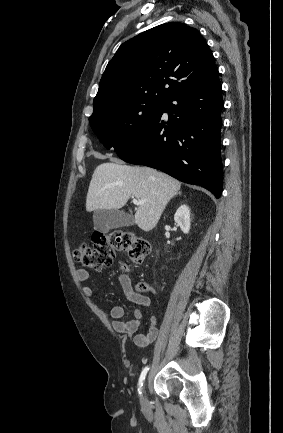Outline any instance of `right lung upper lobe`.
Returning <instances> with one entry per match:
<instances>
[{
    "instance_id": "cb5924a9",
    "label": "right lung upper lobe",
    "mask_w": 283,
    "mask_h": 433,
    "mask_svg": "<svg viewBox=\"0 0 283 433\" xmlns=\"http://www.w3.org/2000/svg\"><path fill=\"white\" fill-rule=\"evenodd\" d=\"M217 76L214 57L200 33L180 22L165 23L119 47L101 78L92 115L132 102L164 103Z\"/></svg>"
}]
</instances>
